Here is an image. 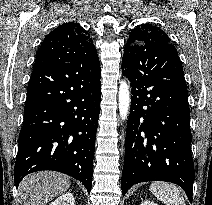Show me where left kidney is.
Here are the masks:
<instances>
[{"label": "left kidney", "mask_w": 212, "mask_h": 205, "mask_svg": "<svg viewBox=\"0 0 212 205\" xmlns=\"http://www.w3.org/2000/svg\"><path fill=\"white\" fill-rule=\"evenodd\" d=\"M141 205H157V204H156L155 202L146 200V201H143V202L141 203Z\"/></svg>", "instance_id": "1"}]
</instances>
